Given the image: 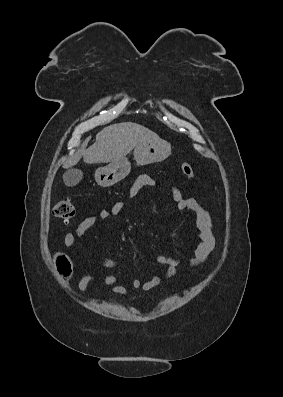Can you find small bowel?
I'll return each instance as SVG.
<instances>
[{
    "label": "small bowel",
    "mask_w": 283,
    "mask_h": 397,
    "mask_svg": "<svg viewBox=\"0 0 283 397\" xmlns=\"http://www.w3.org/2000/svg\"><path fill=\"white\" fill-rule=\"evenodd\" d=\"M156 180L148 175L139 176L129 190V196L134 197L142 188L150 186H157ZM171 194L174 202L179 210L191 211L196 218V227L199 231V243L194 249L193 257L190 260L191 266H197L206 261L215 250V239L213 235V223L208 210L202 206L195 198H184L181 192L174 186L166 185ZM124 207L123 201H117L112 206L104 208L97 213L86 217L79 223L74 232H69L64 237V245L67 248H72L77 239L82 238L86 232L94 226L98 221L117 218ZM157 263L165 265L166 278H173L177 273V266L180 263L179 257H172L161 255L156 258ZM101 266L107 269L119 266V262L112 259H105L101 262ZM80 271V270H79ZM81 272V271H80ZM82 276L78 282V289L80 292L85 293L89 285L98 281L103 285L111 286L113 292L117 294H126V288L119 284L118 279L114 275H108L98 278L92 274L81 272ZM160 283V278L153 276L148 281L142 283L140 279H133L131 282L132 287L141 288L145 292L151 291Z\"/></svg>",
    "instance_id": "c3829d8e"
}]
</instances>
